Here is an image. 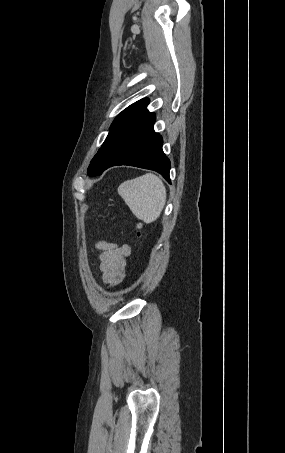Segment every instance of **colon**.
I'll list each match as a JSON object with an SVG mask.
<instances>
[{
    "label": "colon",
    "mask_w": 285,
    "mask_h": 453,
    "mask_svg": "<svg viewBox=\"0 0 285 453\" xmlns=\"http://www.w3.org/2000/svg\"><path fill=\"white\" fill-rule=\"evenodd\" d=\"M140 229H141V226H140V225H138V226H137V230H138V236H141V231H140Z\"/></svg>",
    "instance_id": "1"
}]
</instances>
